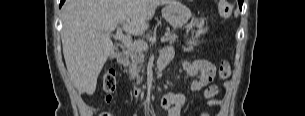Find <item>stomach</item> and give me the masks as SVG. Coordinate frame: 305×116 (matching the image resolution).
<instances>
[{
  "instance_id": "obj_1",
  "label": "stomach",
  "mask_w": 305,
  "mask_h": 116,
  "mask_svg": "<svg viewBox=\"0 0 305 116\" xmlns=\"http://www.w3.org/2000/svg\"><path fill=\"white\" fill-rule=\"evenodd\" d=\"M162 16L172 27L180 28L189 21L192 14L180 1H172L162 9Z\"/></svg>"
}]
</instances>
